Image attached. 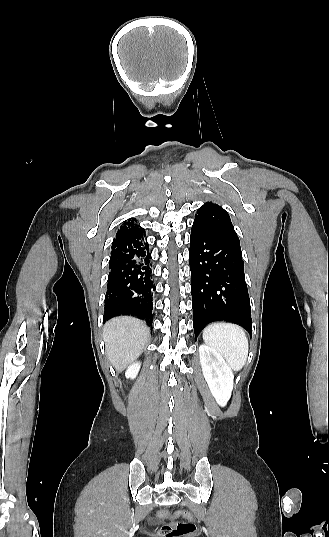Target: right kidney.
Listing matches in <instances>:
<instances>
[{
    "mask_svg": "<svg viewBox=\"0 0 329 537\" xmlns=\"http://www.w3.org/2000/svg\"><path fill=\"white\" fill-rule=\"evenodd\" d=\"M140 366L141 365L139 362L131 364L125 372L126 378L134 379L139 372Z\"/></svg>",
    "mask_w": 329,
    "mask_h": 537,
    "instance_id": "ca27d5eb",
    "label": "right kidney"
}]
</instances>
